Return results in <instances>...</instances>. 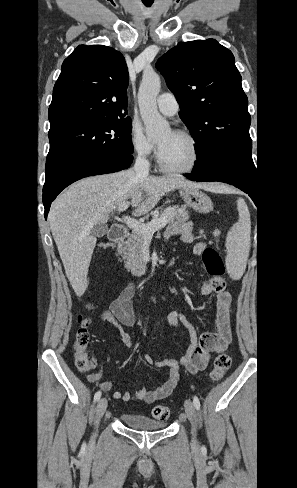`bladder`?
<instances>
[{"mask_svg": "<svg viewBox=\"0 0 297 488\" xmlns=\"http://www.w3.org/2000/svg\"><path fill=\"white\" fill-rule=\"evenodd\" d=\"M120 419L127 427L140 431H156L166 426L165 422L140 414L123 413Z\"/></svg>", "mask_w": 297, "mask_h": 488, "instance_id": "31cf9c89", "label": "bladder"}]
</instances>
